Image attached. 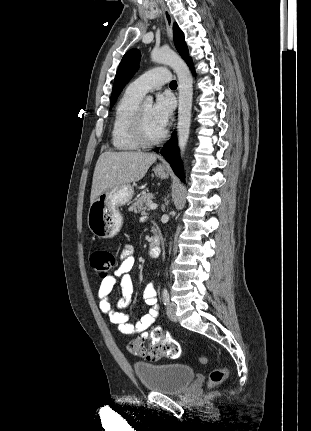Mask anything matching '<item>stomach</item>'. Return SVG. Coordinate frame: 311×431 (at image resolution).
<instances>
[{
    "mask_svg": "<svg viewBox=\"0 0 311 431\" xmlns=\"http://www.w3.org/2000/svg\"><path fill=\"white\" fill-rule=\"evenodd\" d=\"M153 172L161 180L169 178L163 166H156ZM134 192L133 184H119L100 194L88 210L87 223L90 231L97 237H105V239L115 237L124 221L119 208L130 204Z\"/></svg>",
    "mask_w": 311,
    "mask_h": 431,
    "instance_id": "stomach-1",
    "label": "stomach"
}]
</instances>
